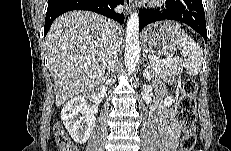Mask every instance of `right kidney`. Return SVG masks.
<instances>
[{"label":"right kidney","mask_w":231,"mask_h":151,"mask_svg":"<svg viewBox=\"0 0 231 151\" xmlns=\"http://www.w3.org/2000/svg\"><path fill=\"white\" fill-rule=\"evenodd\" d=\"M61 120L71 138L78 144H84L91 135L96 118L85 97L76 96L63 106Z\"/></svg>","instance_id":"1"}]
</instances>
